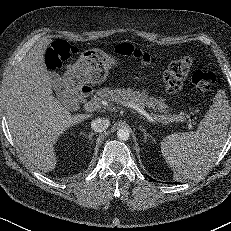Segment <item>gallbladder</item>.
I'll use <instances>...</instances> for the list:
<instances>
[{"mask_svg": "<svg viewBox=\"0 0 231 231\" xmlns=\"http://www.w3.org/2000/svg\"><path fill=\"white\" fill-rule=\"evenodd\" d=\"M50 77L52 79V87L56 90L61 88V78L56 73H50Z\"/></svg>", "mask_w": 231, "mask_h": 231, "instance_id": "bac80fb5", "label": "gallbladder"}]
</instances>
